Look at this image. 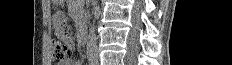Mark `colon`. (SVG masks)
<instances>
[{
	"label": "colon",
	"instance_id": "obj_1",
	"mask_svg": "<svg viewBox=\"0 0 232 65\" xmlns=\"http://www.w3.org/2000/svg\"><path fill=\"white\" fill-rule=\"evenodd\" d=\"M53 61L58 65H63L70 61L73 55V38L59 37L53 41L52 46Z\"/></svg>",
	"mask_w": 232,
	"mask_h": 65
}]
</instances>
